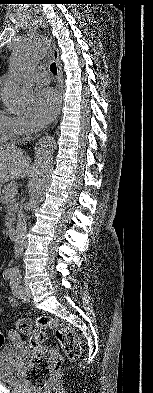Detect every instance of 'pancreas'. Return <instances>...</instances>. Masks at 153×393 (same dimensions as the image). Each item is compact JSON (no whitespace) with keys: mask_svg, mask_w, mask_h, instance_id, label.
I'll return each instance as SVG.
<instances>
[{"mask_svg":"<svg viewBox=\"0 0 153 393\" xmlns=\"http://www.w3.org/2000/svg\"><path fill=\"white\" fill-rule=\"evenodd\" d=\"M14 184H9L4 187L0 193V202L6 205V216H5V226L11 227L14 222V212L17 209L16 198L14 196H9V192L14 188Z\"/></svg>","mask_w":153,"mask_h":393,"instance_id":"1","label":"pancreas"}]
</instances>
